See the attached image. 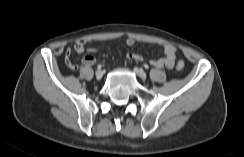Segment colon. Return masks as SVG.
I'll return each mask as SVG.
<instances>
[{
  "label": "colon",
  "instance_id": "colon-1",
  "mask_svg": "<svg viewBox=\"0 0 244 157\" xmlns=\"http://www.w3.org/2000/svg\"><path fill=\"white\" fill-rule=\"evenodd\" d=\"M184 62L183 61H179V62H177V64H176V69L177 70H182L183 68H184Z\"/></svg>",
  "mask_w": 244,
  "mask_h": 157
}]
</instances>
